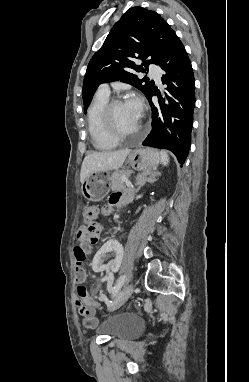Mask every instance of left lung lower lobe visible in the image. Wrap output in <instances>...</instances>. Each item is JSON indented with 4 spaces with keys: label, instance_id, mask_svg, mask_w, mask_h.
<instances>
[{
    "label": "left lung lower lobe",
    "instance_id": "obj_1",
    "mask_svg": "<svg viewBox=\"0 0 249 382\" xmlns=\"http://www.w3.org/2000/svg\"><path fill=\"white\" fill-rule=\"evenodd\" d=\"M165 71L164 94L153 88L147 99L152 109V130L142 143L144 146L168 149L183 164L190 148L195 82L187 52L177 37L169 54L159 63ZM157 95L158 103L151 101Z\"/></svg>",
    "mask_w": 249,
    "mask_h": 382
}]
</instances>
